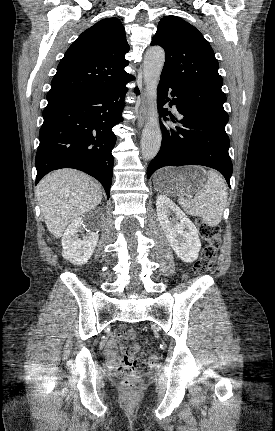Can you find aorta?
Wrapping results in <instances>:
<instances>
[{"label":"aorta","instance_id":"obj_1","mask_svg":"<svg viewBox=\"0 0 275 431\" xmlns=\"http://www.w3.org/2000/svg\"><path fill=\"white\" fill-rule=\"evenodd\" d=\"M165 62V52L161 47H151L146 51L143 78L149 105V116L141 138V152L146 160L153 159L161 146L162 134L157 112V86Z\"/></svg>","mask_w":275,"mask_h":431}]
</instances>
